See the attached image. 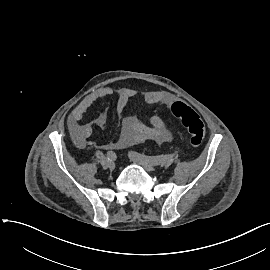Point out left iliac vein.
Listing matches in <instances>:
<instances>
[{
    "label": "left iliac vein",
    "instance_id": "left-iliac-vein-1",
    "mask_svg": "<svg viewBox=\"0 0 270 270\" xmlns=\"http://www.w3.org/2000/svg\"><path fill=\"white\" fill-rule=\"evenodd\" d=\"M129 157L134 163H137V164L143 166L146 170H148V171L154 170V165L152 163L148 162L147 160L137 158L132 153H129Z\"/></svg>",
    "mask_w": 270,
    "mask_h": 270
}]
</instances>
